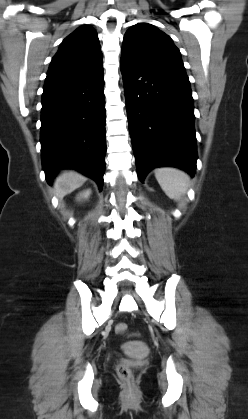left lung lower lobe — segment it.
Returning a JSON list of instances; mask_svg holds the SVG:
<instances>
[{
    "label": "left lung lower lobe",
    "instance_id": "obj_1",
    "mask_svg": "<svg viewBox=\"0 0 248 419\" xmlns=\"http://www.w3.org/2000/svg\"><path fill=\"white\" fill-rule=\"evenodd\" d=\"M129 131L141 182L155 167L194 175L197 151L188 79L120 60Z\"/></svg>",
    "mask_w": 248,
    "mask_h": 419
}]
</instances>
